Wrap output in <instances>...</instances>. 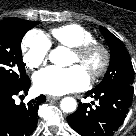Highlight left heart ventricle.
<instances>
[{
	"label": "left heart ventricle",
	"instance_id": "b2bd125f",
	"mask_svg": "<svg viewBox=\"0 0 136 136\" xmlns=\"http://www.w3.org/2000/svg\"><path fill=\"white\" fill-rule=\"evenodd\" d=\"M101 61V53L94 51L88 55L83 61H80L77 56L72 53L71 64H78L87 74L89 70L96 67Z\"/></svg>",
	"mask_w": 136,
	"mask_h": 136
}]
</instances>
